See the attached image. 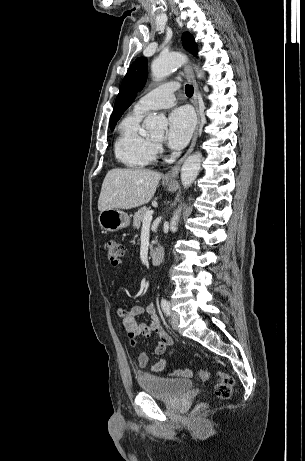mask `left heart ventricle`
<instances>
[{
	"mask_svg": "<svg viewBox=\"0 0 305 461\" xmlns=\"http://www.w3.org/2000/svg\"><path fill=\"white\" fill-rule=\"evenodd\" d=\"M156 141H159L160 139H155Z\"/></svg>",
	"mask_w": 305,
	"mask_h": 461,
	"instance_id": "left-heart-ventricle-1",
	"label": "left heart ventricle"
}]
</instances>
